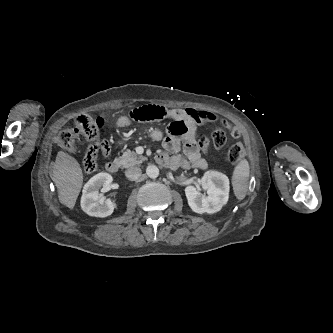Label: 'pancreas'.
Wrapping results in <instances>:
<instances>
[{
    "mask_svg": "<svg viewBox=\"0 0 333 333\" xmlns=\"http://www.w3.org/2000/svg\"><path fill=\"white\" fill-rule=\"evenodd\" d=\"M119 160L123 167L128 168L142 163L145 157L138 156L134 151L127 150L119 157Z\"/></svg>",
    "mask_w": 333,
    "mask_h": 333,
    "instance_id": "1",
    "label": "pancreas"
}]
</instances>
